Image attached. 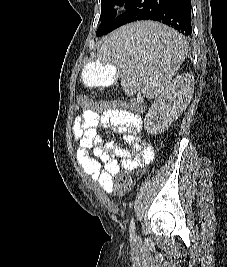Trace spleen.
<instances>
[{
	"label": "spleen",
	"mask_w": 227,
	"mask_h": 267,
	"mask_svg": "<svg viewBox=\"0 0 227 267\" xmlns=\"http://www.w3.org/2000/svg\"><path fill=\"white\" fill-rule=\"evenodd\" d=\"M101 41L105 42H96V47H103L101 55H109L112 63H136L121 80L130 81L126 87L132 89L141 81L148 97L168 87L188 53L183 37L157 19H134L119 25L115 33L101 36Z\"/></svg>",
	"instance_id": "obj_1"
}]
</instances>
